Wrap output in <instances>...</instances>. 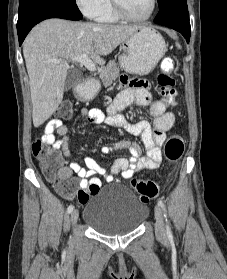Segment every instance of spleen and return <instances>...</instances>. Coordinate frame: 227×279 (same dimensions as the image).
<instances>
[{"mask_svg": "<svg viewBox=\"0 0 227 279\" xmlns=\"http://www.w3.org/2000/svg\"><path fill=\"white\" fill-rule=\"evenodd\" d=\"M176 46H177L178 48H181V46H180V44H179V43H176Z\"/></svg>", "mask_w": 227, "mask_h": 279, "instance_id": "spleen-1", "label": "spleen"}]
</instances>
